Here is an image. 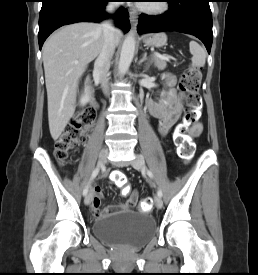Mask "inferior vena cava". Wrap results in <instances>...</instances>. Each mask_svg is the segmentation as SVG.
Returning <instances> with one entry per match:
<instances>
[{
    "label": "inferior vena cava",
    "mask_w": 258,
    "mask_h": 275,
    "mask_svg": "<svg viewBox=\"0 0 258 275\" xmlns=\"http://www.w3.org/2000/svg\"><path fill=\"white\" fill-rule=\"evenodd\" d=\"M119 7L118 3L112 2L106 6V11L113 13ZM104 31V43L94 64L93 74L101 80L103 91L106 93L108 89V75L110 69L111 58L115 52L117 45L115 39V27L110 20L104 21L100 25Z\"/></svg>",
    "instance_id": "1"
}]
</instances>
